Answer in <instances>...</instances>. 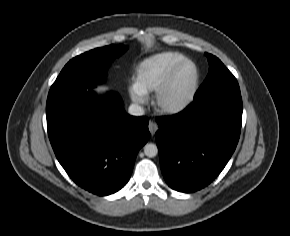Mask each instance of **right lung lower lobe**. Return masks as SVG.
I'll use <instances>...</instances> for the list:
<instances>
[{
  "mask_svg": "<svg viewBox=\"0 0 290 236\" xmlns=\"http://www.w3.org/2000/svg\"><path fill=\"white\" fill-rule=\"evenodd\" d=\"M46 117L62 167L76 184L100 196L124 187L150 138L148 118L128 115L116 93L97 99L84 87L49 91Z\"/></svg>",
  "mask_w": 290,
  "mask_h": 236,
  "instance_id": "98d812e1",
  "label": "right lung lower lobe"
}]
</instances>
